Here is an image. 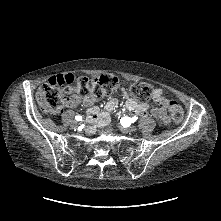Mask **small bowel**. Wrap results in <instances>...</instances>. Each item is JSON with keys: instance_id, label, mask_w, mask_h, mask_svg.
<instances>
[{"instance_id": "c3829d8e", "label": "small bowel", "mask_w": 221, "mask_h": 221, "mask_svg": "<svg viewBox=\"0 0 221 221\" xmlns=\"http://www.w3.org/2000/svg\"><path fill=\"white\" fill-rule=\"evenodd\" d=\"M76 81V74L74 72H67L61 74H52L50 76V83L52 85H60V84H71ZM123 96L126 97L125 108L128 111L136 112L141 116H146L148 112V106L145 104L137 103L133 98L129 97L127 91L125 89L121 90ZM98 98L95 96L89 97H73L70 98L66 105L68 107H75L79 104H83L88 107L87 111V119L90 124L98 125L99 127H105L108 125L110 121V114L113 112L118 105V101L114 98L109 99L104 109L101 110L99 107L94 104L97 102ZM153 100L157 103V106L151 109L152 115L161 121L163 124H167L170 120L168 115L169 110V101L171 99L166 98L164 92L160 88H156L153 91Z\"/></svg>"}]
</instances>
